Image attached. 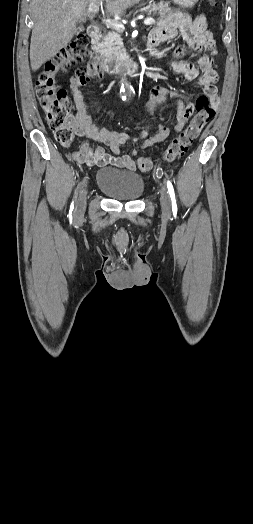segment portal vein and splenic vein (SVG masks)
<instances>
[{
	"label": "portal vein and splenic vein",
	"instance_id": "1",
	"mask_svg": "<svg viewBox=\"0 0 253 524\" xmlns=\"http://www.w3.org/2000/svg\"><path fill=\"white\" fill-rule=\"evenodd\" d=\"M99 10V5L96 4V3H90L88 5V11L90 13H93V12H97ZM103 22L107 25V26H110V27H113L117 30H121V29H125L124 25L116 20H113V19H110V18H107V19H103ZM155 23V19L152 18V17H148L144 20V24L145 25H152Z\"/></svg>",
	"mask_w": 253,
	"mask_h": 524
}]
</instances>
